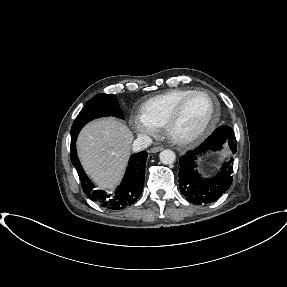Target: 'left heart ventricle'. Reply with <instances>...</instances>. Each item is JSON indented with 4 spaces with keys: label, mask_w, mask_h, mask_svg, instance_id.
<instances>
[{
    "label": "left heart ventricle",
    "mask_w": 287,
    "mask_h": 287,
    "mask_svg": "<svg viewBox=\"0 0 287 287\" xmlns=\"http://www.w3.org/2000/svg\"><path fill=\"white\" fill-rule=\"evenodd\" d=\"M211 111V102L204 95H196L190 98L185 105L182 115L174 132L178 135H186L200 129L206 122Z\"/></svg>",
    "instance_id": "obj_1"
}]
</instances>
